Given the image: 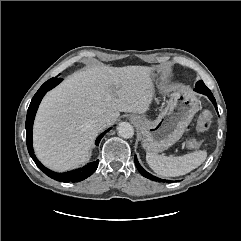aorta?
<instances>
[{"mask_svg":"<svg viewBox=\"0 0 241 241\" xmlns=\"http://www.w3.org/2000/svg\"><path fill=\"white\" fill-rule=\"evenodd\" d=\"M117 131H118L119 136H121L123 138H127V139L132 138L134 135V128L128 122L119 123V125L117 127Z\"/></svg>","mask_w":241,"mask_h":241,"instance_id":"obj_1","label":"aorta"}]
</instances>
